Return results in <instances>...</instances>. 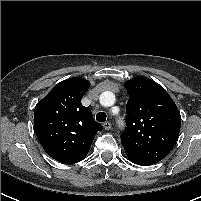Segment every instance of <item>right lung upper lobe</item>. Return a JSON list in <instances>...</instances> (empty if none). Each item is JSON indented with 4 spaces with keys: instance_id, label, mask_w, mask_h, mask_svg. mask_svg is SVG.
<instances>
[{
    "instance_id": "obj_1",
    "label": "right lung upper lobe",
    "mask_w": 201,
    "mask_h": 201,
    "mask_svg": "<svg viewBox=\"0 0 201 201\" xmlns=\"http://www.w3.org/2000/svg\"><path fill=\"white\" fill-rule=\"evenodd\" d=\"M90 82L73 77L58 83L34 110V130L44 150L55 160L72 164L89 152L97 131L91 110L81 103Z\"/></svg>"
}]
</instances>
